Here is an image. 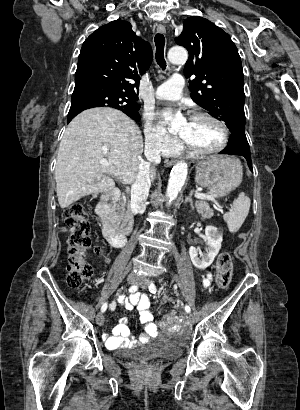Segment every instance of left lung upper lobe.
<instances>
[{"mask_svg": "<svg viewBox=\"0 0 300 410\" xmlns=\"http://www.w3.org/2000/svg\"><path fill=\"white\" fill-rule=\"evenodd\" d=\"M189 52L184 67L191 98L225 122L232 134L245 136V94L241 58L230 36L209 20L192 16L175 39Z\"/></svg>", "mask_w": 300, "mask_h": 410, "instance_id": "1", "label": "left lung upper lobe"}]
</instances>
